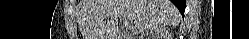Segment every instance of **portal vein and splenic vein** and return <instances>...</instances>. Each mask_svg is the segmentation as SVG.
I'll return each instance as SVG.
<instances>
[{
	"instance_id": "obj_1",
	"label": "portal vein and splenic vein",
	"mask_w": 249,
	"mask_h": 39,
	"mask_svg": "<svg viewBox=\"0 0 249 39\" xmlns=\"http://www.w3.org/2000/svg\"><path fill=\"white\" fill-rule=\"evenodd\" d=\"M123 23H124L125 27L129 26L128 23H127V21L124 20Z\"/></svg>"
}]
</instances>
